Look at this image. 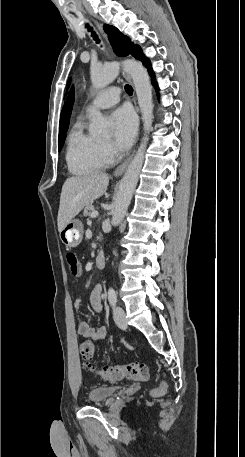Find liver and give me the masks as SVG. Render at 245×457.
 <instances>
[{
	"instance_id": "liver-1",
	"label": "liver",
	"mask_w": 245,
	"mask_h": 457,
	"mask_svg": "<svg viewBox=\"0 0 245 457\" xmlns=\"http://www.w3.org/2000/svg\"><path fill=\"white\" fill-rule=\"evenodd\" d=\"M109 176L105 172H90L69 176L62 186L58 210V231L61 233L65 224L74 218L85 204L102 196L107 190Z\"/></svg>"
}]
</instances>
